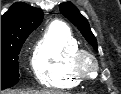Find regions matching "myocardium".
I'll use <instances>...</instances> for the list:
<instances>
[{
  "label": "myocardium",
  "mask_w": 121,
  "mask_h": 94,
  "mask_svg": "<svg viewBox=\"0 0 121 94\" xmlns=\"http://www.w3.org/2000/svg\"><path fill=\"white\" fill-rule=\"evenodd\" d=\"M86 61L92 64L90 70H86L84 67ZM73 70L79 79H90L94 73L98 72L99 62L92 53L85 49H80L73 57Z\"/></svg>",
  "instance_id": "obj_1"
}]
</instances>
